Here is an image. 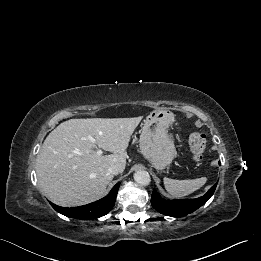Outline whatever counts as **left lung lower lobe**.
Listing matches in <instances>:
<instances>
[{
    "instance_id": "obj_1",
    "label": "left lung lower lobe",
    "mask_w": 261,
    "mask_h": 261,
    "mask_svg": "<svg viewBox=\"0 0 261 261\" xmlns=\"http://www.w3.org/2000/svg\"><path fill=\"white\" fill-rule=\"evenodd\" d=\"M217 183L212 186L208 192L196 199H180V200H165L160 197V195L153 190L151 196L152 206L161 214L172 216V217H182L187 214L192 213L200 206L205 204L209 198L213 195Z\"/></svg>"
}]
</instances>
